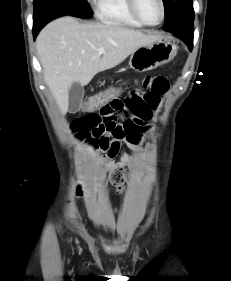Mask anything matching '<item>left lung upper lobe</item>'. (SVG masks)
<instances>
[{"instance_id": "5c2ea615", "label": "left lung upper lobe", "mask_w": 231, "mask_h": 281, "mask_svg": "<svg viewBox=\"0 0 231 281\" xmlns=\"http://www.w3.org/2000/svg\"><path fill=\"white\" fill-rule=\"evenodd\" d=\"M166 31L186 20H194L192 0H163Z\"/></svg>"}]
</instances>
